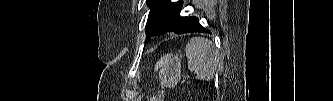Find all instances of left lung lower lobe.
Segmentation results:
<instances>
[{
	"label": "left lung lower lobe",
	"instance_id": "1",
	"mask_svg": "<svg viewBox=\"0 0 333 101\" xmlns=\"http://www.w3.org/2000/svg\"><path fill=\"white\" fill-rule=\"evenodd\" d=\"M176 4L180 8H182V1H178ZM177 34H183V33H190V32H204V33H210L208 29H205L202 27L197 17H182L180 24L176 27V29L173 31Z\"/></svg>",
	"mask_w": 333,
	"mask_h": 101
}]
</instances>
